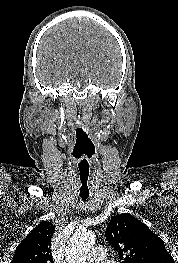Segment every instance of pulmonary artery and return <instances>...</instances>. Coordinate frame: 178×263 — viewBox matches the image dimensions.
Returning a JSON list of instances; mask_svg holds the SVG:
<instances>
[{
	"instance_id": "pulmonary-artery-1",
	"label": "pulmonary artery",
	"mask_w": 178,
	"mask_h": 263,
	"mask_svg": "<svg viewBox=\"0 0 178 263\" xmlns=\"http://www.w3.org/2000/svg\"><path fill=\"white\" fill-rule=\"evenodd\" d=\"M87 263H108V252L103 247H94L87 256Z\"/></svg>"
}]
</instances>
